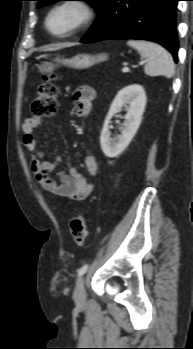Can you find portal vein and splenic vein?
<instances>
[{"label":"portal vein and splenic vein","mask_w":193,"mask_h":349,"mask_svg":"<svg viewBox=\"0 0 193 349\" xmlns=\"http://www.w3.org/2000/svg\"><path fill=\"white\" fill-rule=\"evenodd\" d=\"M145 63V61H141L140 64H143ZM122 72L126 73V72H129V68L128 67H123L122 68Z\"/></svg>","instance_id":"18ae733b"}]
</instances>
